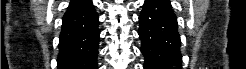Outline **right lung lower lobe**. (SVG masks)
Listing matches in <instances>:
<instances>
[{"label":"right lung lower lobe","instance_id":"right-lung-lower-lobe-1","mask_svg":"<svg viewBox=\"0 0 246 69\" xmlns=\"http://www.w3.org/2000/svg\"><path fill=\"white\" fill-rule=\"evenodd\" d=\"M98 14L90 0H72L63 16L58 69H97Z\"/></svg>","mask_w":246,"mask_h":69}]
</instances>
